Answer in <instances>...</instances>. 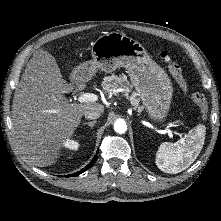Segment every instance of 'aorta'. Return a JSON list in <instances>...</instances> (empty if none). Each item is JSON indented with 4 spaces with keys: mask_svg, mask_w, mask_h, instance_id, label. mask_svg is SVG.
I'll return each instance as SVG.
<instances>
[{
    "mask_svg": "<svg viewBox=\"0 0 221 221\" xmlns=\"http://www.w3.org/2000/svg\"><path fill=\"white\" fill-rule=\"evenodd\" d=\"M114 130L119 134L125 133L127 130L126 122L123 119H117L114 123Z\"/></svg>",
    "mask_w": 221,
    "mask_h": 221,
    "instance_id": "obj_1",
    "label": "aorta"
}]
</instances>
